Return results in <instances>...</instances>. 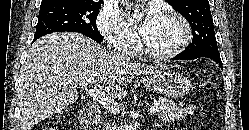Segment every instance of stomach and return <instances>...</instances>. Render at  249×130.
<instances>
[{
    "label": "stomach",
    "instance_id": "stomach-1",
    "mask_svg": "<svg viewBox=\"0 0 249 130\" xmlns=\"http://www.w3.org/2000/svg\"><path fill=\"white\" fill-rule=\"evenodd\" d=\"M148 88L169 98H179L186 95L190 88L189 79L175 71H160L142 80Z\"/></svg>",
    "mask_w": 249,
    "mask_h": 130
}]
</instances>
